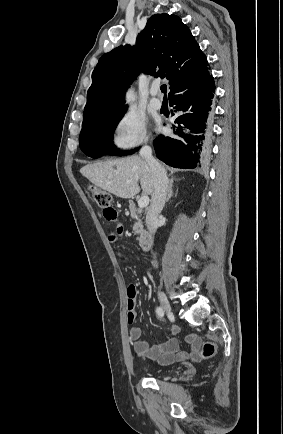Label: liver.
Instances as JSON below:
<instances>
[{"instance_id": "obj_1", "label": "liver", "mask_w": 283, "mask_h": 434, "mask_svg": "<svg viewBox=\"0 0 283 434\" xmlns=\"http://www.w3.org/2000/svg\"><path fill=\"white\" fill-rule=\"evenodd\" d=\"M80 173L95 186L123 199L138 194L140 186L145 195H152L154 191L150 167L138 155L87 164L80 169Z\"/></svg>"}]
</instances>
